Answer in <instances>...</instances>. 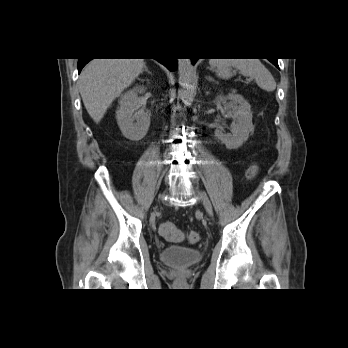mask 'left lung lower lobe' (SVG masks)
Here are the masks:
<instances>
[{
	"instance_id": "1",
	"label": "left lung lower lobe",
	"mask_w": 348,
	"mask_h": 348,
	"mask_svg": "<svg viewBox=\"0 0 348 348\" xmlns=\"http://www.w3.org/2000/svg\"><path fill=\"white\" fill-rule=\"evenodd\" d=\"M197 60H198V59H196V58H192V64H195V62H196ZM270 61L279 69L277 59L270 60Z\"/></svg>"
}]
</instances>
